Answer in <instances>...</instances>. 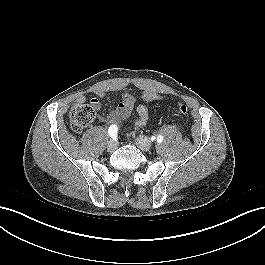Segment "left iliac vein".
Segmentation results:
<instances>
[{
	"mask_svg": "<svg viewBox=\"0 0 265 265\" xmlns=\"http://www.w3.org/2000/svg\"><path fill=\"white\" fill-rule=\"evenodd\" d=\"M135 143L142 151H149L152 146L151 141L146 136L137 137Z\"/></svg>",
	"mask_w": 265,
	"mask_h": 265,
	"instance_id": "obj_1",
	"label": "left iliac vein"
}]
</instances>
